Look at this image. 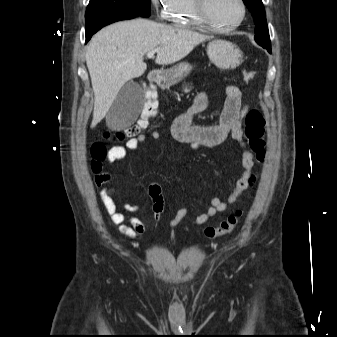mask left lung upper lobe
Here are the masks:
<instances>
[{
  "mask_svg": "<svg viewBox=\"0 0 337 337\" xmlns=\"http://www.w3.org/2000/svg\"><path fill=\"white\" fill-rule=\"evenodd\" d=\"M255 21V41L271 52V43L262 0H243Z\"/></svg>",
  "mask_w": 337,
  "mask_h": 337,
  "instance_id": "5c2ea615",
  "label": "left lung upper lobe"
}]
</instances>
